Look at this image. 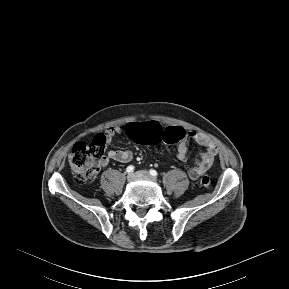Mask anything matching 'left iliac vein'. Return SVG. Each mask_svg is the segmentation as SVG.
<instances>
[{
  "mask_svg": "<svg viewBox=\"0 0 289 289\" xmlns=\"http://www.w3.org/2000/svg\"><path fill=\"white\" fill-rule=\"evenodd\" d=\"M136 176L138 178H147L153 181L156 180L153 176H151V174L148 171H145V170L137 171Z\"/></svg>",
  "mask_w": 289,
  "mask_h": 289,
  "instance_id": "obj_1",
  "label": "left iliac vein"
}]
</instances>
